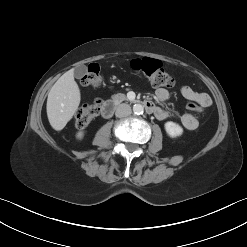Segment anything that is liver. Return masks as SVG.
<instances>
[{
	"label": "liver",
	"mask_w": 247,
	"mask_h": 247,
	"mask_svg": "<svg viewBox=\"0 0 247 247\" xmlns=\"http://www.w3.org/2000/svg\"><path fill=\"white\" fill-rule=\"evenodd\" d=\"M80 100V89L71 69L56 81L48 94L47 117L54 130L60 131L66 126L77 111Z\"/></svg>",
	"instance_id": "1"
}]
</instances>
